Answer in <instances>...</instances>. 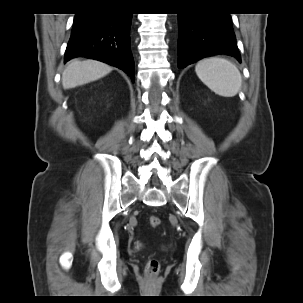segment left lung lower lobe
I'll return each mask as SVG.
<instances>
[{
    "mask_svg": "<svg viewBox=\"0 0 303 303\" xmlns=\"http://www.w3.org/2000/svg\"><path fill=\"white\" fill-rule=\"evenodd\" d=\"M178 67L226 54L241 62L228 13L178 14Z\"/></svg>",
    "mask_w": 303,
    "mask_h": 303,
    "instance_id": "1",
    "label": "left lung lower lobe"
}]
</instances>
